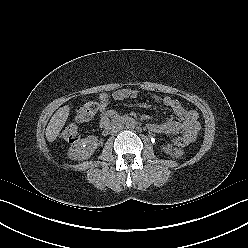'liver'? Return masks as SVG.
I'll return each instance as SVG.
<instances>
[{
  "label": "liver",
  "instance_id": "1",
  "mask_svg": "<svg viewBox=\"0 0 248 248\" xmlns=\"http://www.w3.org/2000/svg\"><path fill=\"white\" fill-rule=\"evenodd\" d=\"M70 108L68 105L60 107L51 117L46 128V138L49 142L55 141L69 116Z\"/></svg>",
  "mask_w": 248,
  "mask_h": 248
}]
</instances>
